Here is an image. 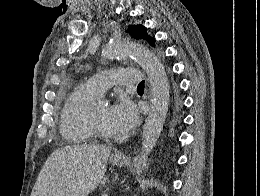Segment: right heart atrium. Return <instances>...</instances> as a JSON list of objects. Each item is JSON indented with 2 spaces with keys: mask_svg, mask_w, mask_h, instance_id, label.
<instances>
[{
  "mask_svg": "<svg viewBox=\"0 0 260 196\" xmlns=\"http://www.w3.org/2000/svg\"><path fill=\"white\" fill-rule=\"evenodd\" d=\"M80 191L81 190H54V192H80Z\"/></svg>",
  "mask_w": 260,
  "mask_h": 196,
  "instance_id": "obj_1",
  "label": "right heart atrium"
}]
</instances>
